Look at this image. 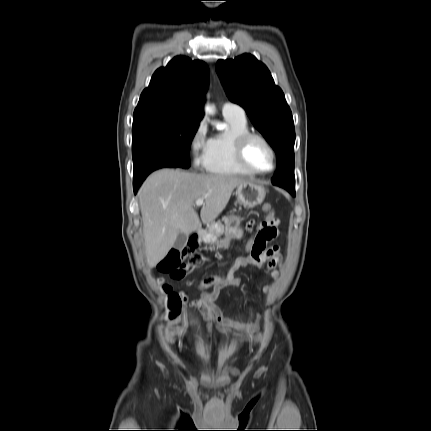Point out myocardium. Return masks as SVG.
Instances as JSON below:
<instances>
[{"label":"myocardium","mask_w":431,"mask_h":431,"mask_svg":"<svg viewBox=\"0 0 431 431\" xmlns=\"http://www.w3.org/2000/svg\"><path fill=\"white\" fill-rule=\"evenodd\" d=\"M253 139H258L261 142H263L268 148V150L270 151L272 156V166L269 170H266V171L257 170L252 166H250L249 163L247 162L245 157V150L248 143ZM234 156L239 166L251 174L266 175V174L272 173L277 166V155L274 147L266 137L258 133L247 132L245 134L240 135L235 141Z\"/></svg>","instance_id":"obj_1"}]
</instances>
